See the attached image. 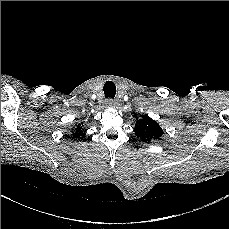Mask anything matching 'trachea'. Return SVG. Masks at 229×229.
Here are the masks:
<instances>
[{
	"label": "trachea",
	"instance_id": "3493384b",
	"mask_svg": "<svg viewBox=\"0 0 229 229\" xmlns=\"http://www.w3.org/2000/svg\"><path fill=\"white\" fill-rule=\"evenodd\" d=\"M103 91L106 98L113 99L116 94V86L112 81H107L104 84Z\"/></svg>",
	"mask_w": 229,
	"mask_h": 229
}]
</instances>
